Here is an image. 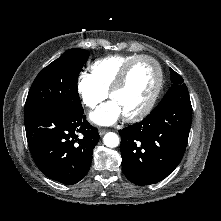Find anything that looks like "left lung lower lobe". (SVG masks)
I'll return each mask as SVG.
<instances>
[{"label": "left lung lower lobe", "instance_id": "obj_1", "mask_svg": "<svg viewBox=\"0 0 221 221\" xmlns=\"http://www.w3.org/2000/svg\"><path fill=\"white\" fill-rule=\"evenodd\" d=\"M192 120L189 93H166L141 122L119 131L122 171L136 185H150L167 177L185 152Z\"/></svg>", "mask_w": 221, "mask_h": 221}]
</instances>
